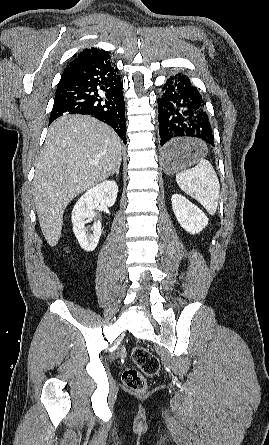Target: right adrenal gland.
Here are the masks:
<instances>
[{
  "mask_svg": "<svg viewBox=\"0 0 269 445\" xmlns=\"http://www.w3.org/2000/svg\"><path fill=\"white\" fill-rule=\"evenodd\" d=\"M119 169H120V165L117 167L116 171L112 173V175L116 174V176L119 175Z\"/></svg>",
  "mask_w": 269,
  "mask_h": 445,
  "instance_id": "2a0ac1e0",
  "label": "right adrenal gland"
}]
</instances>
